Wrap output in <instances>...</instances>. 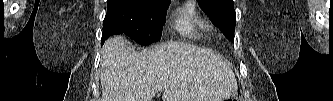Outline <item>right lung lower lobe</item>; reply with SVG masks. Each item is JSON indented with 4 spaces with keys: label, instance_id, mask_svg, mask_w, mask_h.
Instances as JSON below:
<instances>
[{
    "label": "right lung lower lobe",
    "instance_id": "98d812e1",
    "mask_svg": "<svg viewBox=\"0 0 333 101\" xmlns=\"http://www.w3.org/2000/svg\"><path fill=\"white\" fill-rule=\"evenodd\" d=\"M110 27H113L114 24H112V22H110L107 17H105L104 19V23H103V34H102V43L108 38V30L110 29Z\"/></svg>",
    "mask_w": 333,
    "mask_h": 101
}]
</instances>
